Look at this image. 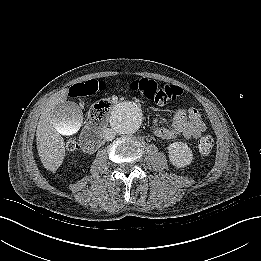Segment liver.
Instances as JSON below:
<instances>
[{
	"instance_id": "obj_1",
	"label": "liver",
	"mask_w": 261,
	"mask_h": 261,
	"mask_svg": "<svg viewBox=\"0 0 261 261\" xmlns=\"http://www.w3.org/2000/svg\"><path fill=\"white\" fill-rule=\"evenodd\" d=\"M68 89L63 88L51 96L44 104L36 130V142L40 160L43 166L51 171H56L62 164L65 156V142L62 134L75 133L82 123V111L78 110L73 120L71 131H64L65 126L57 120L54 113L56 106L67 99Z\"/></svg>"
}]
</instances>
